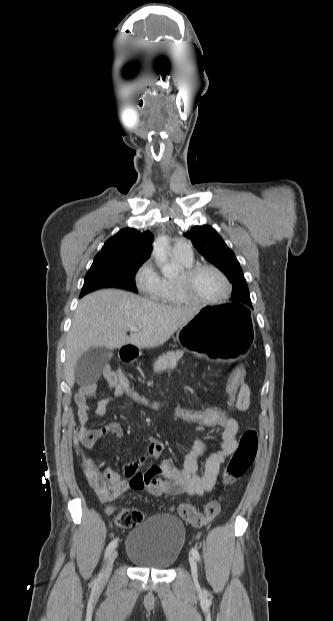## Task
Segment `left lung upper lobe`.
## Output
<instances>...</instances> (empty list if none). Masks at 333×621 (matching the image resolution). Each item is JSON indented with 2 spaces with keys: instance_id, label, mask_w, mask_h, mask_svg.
Returning a JSON list of instances; mask_svg holds the SVG:
<instances>
[{
  "instance_id": "obj_1",
  "label": "left lung upper lobe",
  "mask_w": 333,
  "mask_h": 621,
  "mask_svg": "<svg viewBox=\"0 0 333 621\" xmlns=\"http://www.w3.org/2000/svg\"><path fill=\"white\" fill-rule=\"evenodd\" d=\"M197 250L223 273L233 284L231 301L234 305L252 307L248 286L238 260L220 235L210 226H194L184 234Z\"/></svg>"
}]
</instances>
